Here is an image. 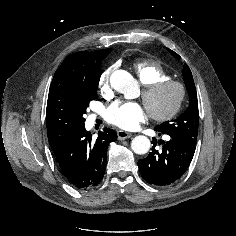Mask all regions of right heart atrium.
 I'll return each instance as SVG.
<instances>
[{
  "label": "right heart atrium",
  "mask_w": 236,
  "mask_h": 236,
  "mask_svg": "<svg viewBox=\"0 0 236 236\" xmlns=\"http://www.w3.org/2000/svg\"><path fill=\"white\" fill-rule=\"evenodd\" d=\"M112 68L104 71L99 78V87L102 93L107 94L110 91V77Z\"/></svg>",
  "instance_id": "right-heart-atrium-1"
}]
</instances>
